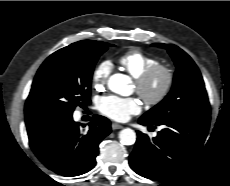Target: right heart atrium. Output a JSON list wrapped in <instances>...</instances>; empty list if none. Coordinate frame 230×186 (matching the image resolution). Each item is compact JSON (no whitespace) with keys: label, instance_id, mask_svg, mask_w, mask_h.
<instances>
[{"label":"right heart atrium","instance_id":"d8ad5b80","mask_svg":"<svg viewBox=\"0 0 230 186\" xmlns=\"http://www.w3.org/2000/svg\"><path fill=\"white\" fill-rule=\"evenodd\" d=\"M112 63L109 60L100 61L92 72V84L95 88H103L111 72Z\"/></svg>","mask_w":230,"mask_h":186}]
</instances>
